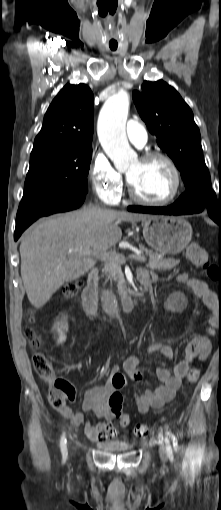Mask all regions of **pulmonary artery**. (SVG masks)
I'll use <instances>...</instances> for the list:
<instances>
[{"mask_svg":"<svg viewBox=\"0 0 221 510\" xmlns=\"http://www.w3.org/2000/svg\"><path fill=\"white\" fill-rule=\"evenodd\" d=\"M126 134L129 141L137 147H143L148 139L147 131L137 120L130 119L126 125Z\"/></svg>","mask_w":221,"mask_h":510,"instance_id":"1","label":"pulmonary artery"}]
</instances>
